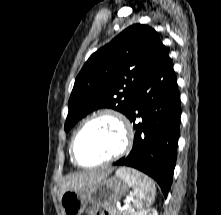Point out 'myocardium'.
Listing matches in <instances>:
<instances>
[{
  "label": "myocardium",
  "instance_id": "f54148a6",
  "mask_svg": "<svg viewBox=\"0 0 221 215\" xmlns=\"http://www.w3.org/2000/svg\"><path fill=\"white\" fill-rule=\"evenodd\" d=\"M101 117H109L112 118L113 120H115L123 133V143L121 148L115 152L113 155H111L110 157L94 163V164H84L82 163L77 156L76 153V141L78 139V136L80 135V133L82 132V130L92 121L101 118ZM133 139H134V134H133V129L131 124L129 123L128 119L124 116V114H122L120 111L113 109V108H104L101 110H98L97 112L93 113L92 115H90L89 117H87L77 128V130L74 132L72 139H71V143H70V154H71V158L72 161L83 168H93V167H98L101 165H105L108 163H111L119 158H121L122 156H124L125 154H127L133 144Z\"/></svg>",
  "mask_w": 221,
  "mask_h": 215
}]
</instances>
